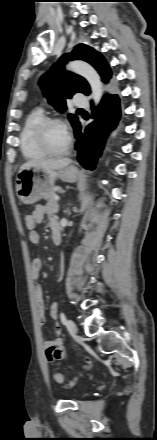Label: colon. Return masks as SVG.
<instances>
[{
	"mask_svg": "<svg viewBox=\"0 0 157 440\" xmlns=\"http://www.w3.org/2000/svg\"><path fill=\"white\" fill-rule=\"evenodd\" d=\"M25 226L29 231L36 230L37 222L34 219L32 214H28L25 216ZM50 354L55 358H60L63 355V348L61 346H55L50 350ZM92 367V361L89 358H86V368L90 369ZM54 380L61 385H66L64 377L61 373L55 372L53 375ZM75 381L70 382L67 386H73Z\"/></svg>",
	"mask_w": 157,
	"mask_h": 440,
	"instance_id": "obj_1",
	"label": "colon"
}]
</instances>
